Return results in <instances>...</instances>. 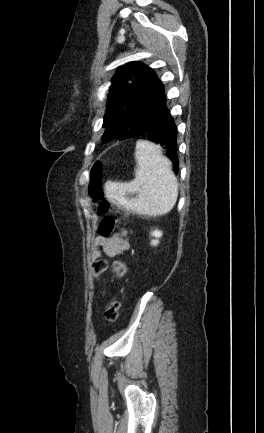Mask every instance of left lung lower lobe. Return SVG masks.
I'll list each match as a JSON object with an SVG mask.
<instances>
[{
	"mask_svg": "<svg viewBox=\"0 0 264 433\" xmlns=\"http://www.w3.org/2000/svg\"><path fill=\"white\" fill-rule=\"evenodd\" d=\"M129 138H141L155 142L166 150V155L178 172L176 154L177 127L166 107V96L157 78L131 105L120 120Z\"/></svg>",
	"mask_w": 264,
	"mask_h": 433,
	"instance_id": "left-lung-lower-lobe-1",
	"label": "left lung lower lobe"
}]
</instances>
